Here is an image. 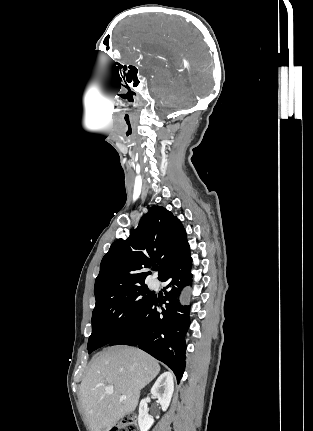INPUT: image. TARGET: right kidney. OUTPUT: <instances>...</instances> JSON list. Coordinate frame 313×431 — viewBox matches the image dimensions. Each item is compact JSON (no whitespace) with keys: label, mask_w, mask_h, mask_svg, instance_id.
<instances>
[{"label":"right kidney","mask_w":313,"mask_h":431,"mask_svg":"<svg viewBox=\"0 0 313 431\" xmlns=\"http://www.w3.org/2000/svg\"><path fill=\"white\" fill-rule=\"evenodd\" d=\"M173 392L174 380L170 372L161 374L151 388L152 396L158 399L163 411L169 407ZM148 411L147 401L143 399L139 405L138 424L140 431H148L154 423V419L148 414Z\"/></svg>","instance_id":"right-kidney-1"}]
</instances>
